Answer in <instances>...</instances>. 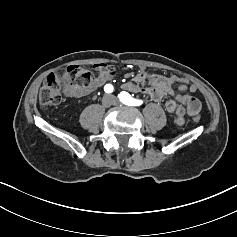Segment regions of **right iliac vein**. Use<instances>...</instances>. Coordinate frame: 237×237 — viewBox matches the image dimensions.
I'll use <instances>...</instances> for the list:
<instances>
[{
	"label": "right iliac vein",
	"instance_id": "63e3f726",
	"mask_svg": "<svg viewBox=\"0 0 237 237\" xmlns=\"http://www.w3.org/2000/svg\"><path fill=\"white\" fill-rule=\"evenodd\" d=\"M102 104L106 107H109L110 105L113 104V98L111 95H105L102 99Z\"/></svg>",
	"mask_w": 237,
	"mask_h": 237
}]
</instances>
